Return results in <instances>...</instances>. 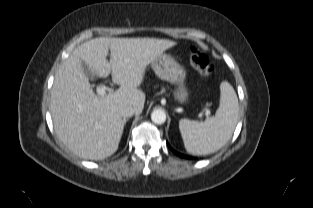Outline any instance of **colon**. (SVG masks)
<instances>
[{
    "mask_svg": "<svg viewBox=\"0 0 313 208\" xmlns=\"http://www.w3.org/2000/svg\"><path fill=\"white\" fill-rule=\"evenodd\" d=\"M188 55L191 64L201 75L209 76L214 72L213 64L196 47H191Z\"/></svg>",
    "mask_w": 313,
    "mask_h": 208,
    "instance_id": "colon-1",
    "label": "colon"
}]
</instances>
